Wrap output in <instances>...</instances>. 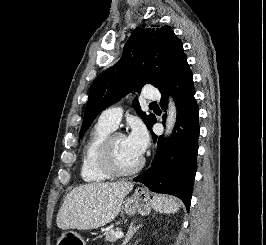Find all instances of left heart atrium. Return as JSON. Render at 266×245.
Here are the masks:
<instances>
[{
	"label": "left heart atrium",
	"mask_w": 266,
	"mask_h": 245,
	"mask_svg": "<svg viewBox=\"0 0 266 245\" xmlns=\"http://www.w3.org/2000/svg\"><path fill=\"white\" fill-rule=\"evenodd\" d=\"M125 139L132 153L140 158L148 143V136L144 127L140 124H133L131 126V131L125 136Z\"/></svg>",
	"instance_id": "39dd6f15"
}]
</instances>
